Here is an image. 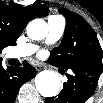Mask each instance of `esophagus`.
Wrapping results in <instances>:
<instances>
[{
	"label": "esophagus",
	"mask_w": 103,
	"mask_h": 103,
	"mask_svg": "<svg viewBox=\"0 0 103 103\" xmlns=\"http://www.w3.org/2000/svg\"><path fill=\"white\" fill-rule=\"evenodd\" d=\"M43 67H44V66H43V64H41V63H36V64H35V68H36L37 71H41V70L43 69Z\"/></svg>",
	"instance_id": "obj_1"
}]
</instances>
